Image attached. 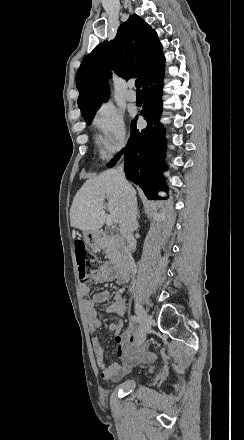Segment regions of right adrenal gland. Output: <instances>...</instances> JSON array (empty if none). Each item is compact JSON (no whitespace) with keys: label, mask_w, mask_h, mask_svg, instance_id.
Returning <instances> with one entry per match:
<instances>
[{"label":"right adrenal gland","mask_w":244,"mask_h":440,"mask_svg":"<svg viewBox=\"0 0 244 440\" xmlns=\"http://www.w3.org/2000/svg\"><path fill=\"white\" fill-rule=\"evenodd\" d=\"M137 216H138V218H140V212H139V210H137Z\"/></svg>","instance_id":"obj_1"}]
</instances>
